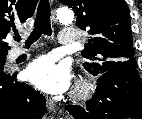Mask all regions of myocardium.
<instances>
[{
  "mask_svg": "<svg viewBox=\"0 0 142 119\" xmlns=\"http://www.w3.org/2000/svg\"><path fill=\"white\" fill-rule=\"evenodd\" d=\"M94 88L95 85L91 79H83L77 84L76 89L74 91V97L80 100H85L89 98V96L94 91Z\"/></svg>",
  "mask_w": 142,
  "mask_h": 119,
  "instance_id": "1",
  "label": "myocardium"
}]
</instances>
